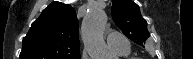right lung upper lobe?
<instances>
[{"label":"right lung upper lobe","mask_w":193,"mask_h":59,"mask_svg":"<svg viewBox=\"0 0 193 59\" xmlns=\"http://www.w3.org/2000/svg\"><path fill=\"white\" fill-rule=\"evenodd\" d=\"M20 59H80L75 10L52 2L23 39Z\"/></svg>","instance_id":"cb5924a9"}]
</instances>
